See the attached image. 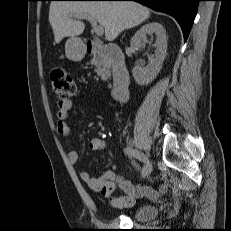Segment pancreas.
<instances>
[{
    "label": "pancreas",
    "mask_w": 231,
    "mask_h": 231,
    "mask_svg": "<svg viewBox=\"0 0 231 231\" xmlns=\"http://www.w3.org/2000/svg\"><path fill=\"white\" fill-rule=\"evenodd\" d=\"M92 64L96 66L95 72L102 78V80H107L110 77L111 66L106 58L97 57L93 59Z\"/></svg>",
    "instance_id": "1"
}]
</instances>
